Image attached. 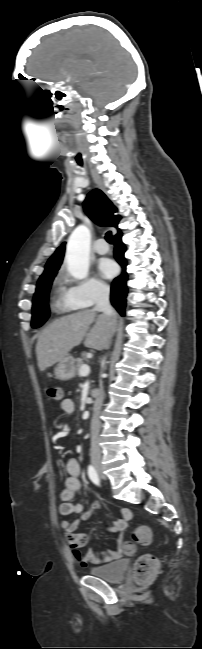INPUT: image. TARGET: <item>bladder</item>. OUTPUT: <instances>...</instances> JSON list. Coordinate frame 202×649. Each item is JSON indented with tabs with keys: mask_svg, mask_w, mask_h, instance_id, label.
<instances>
[{
	"mask_svg": "<svg viewBox=\"0 0 202 649\" xmlns=\"http://www.w3.org/2000/svg\"><path fill=\"white\" fill-rule=\"evenodd\" d=\"M128 566L129 561L121 559L107 565L95 567L91 569L90 574L107 582H117L124 576Z\"/></svg>",
	"mask_w": 202,
	"mask_h": 649,
	"instance_id": "bladder-1",
	"label": "bladder"
}]
</instances>
